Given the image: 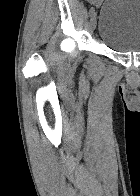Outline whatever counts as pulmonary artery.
Returning <instances> with one entry per match:
<instances>
[{
	"mask_svg": "<svg viewBox=\"0 0 140 196\" xmlns=\"http://www.w3.org/2000/svg\"><path fill=\"white\" fill-rule=\"evenodd\" d=\"M55 192H72V191H55Z\"/></svg>",
	"mask_w": 140,
	"mask_h": 196,
	"instance_id": "pulmonary-artery-1",
	"label": "pulmonary artery"
}]
</instances>
